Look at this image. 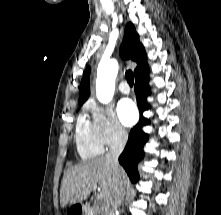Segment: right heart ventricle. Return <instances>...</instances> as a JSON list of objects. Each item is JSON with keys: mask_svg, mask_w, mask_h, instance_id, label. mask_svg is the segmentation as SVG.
<instances>
[{"mask_svg": "<svg viewBox=\"0 0 221 215\" xmlns=\"http://www.w3.org/2000/svg\"><path fill=\"white\" fill-rule=\"evenodd\" d=\"M75 141L79 155L91 158L102 153L103 145L98 141L91 122L85 116H81L77 122Z\"/></svg>", "mask_w": 221, "mask_h": 215, "instance_id": "obj_1", "label": "right heart ventricle"}]
</instances>
